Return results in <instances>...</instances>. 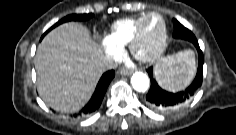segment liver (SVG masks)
I'll use <instances>...</instances> for the list:
<instances>
[{
	"mask_svg": "<svg viewBox=\"0 0 236 135\" xmlns=\"http://www.w3.org/2000/svg\"><path fill=\"white\" fill-rule=\"evenodd\" d=\"M105 59L81 24L68 22L56 27L44 37L35 56L40 97L56 111L79 110L105 71Z\"/></svg>",
	"mask_w": 236,
	"mask_h": 135,
	"instance_id": "obj_1",
	"label": "liver"
}]
</instances>
